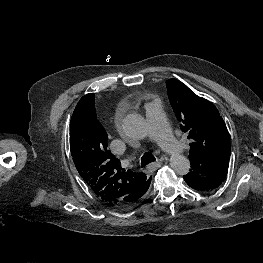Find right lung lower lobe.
<instances>
[{"instance_id":"right-lung-lower-lobe-1","label":"right lung lower lobe","mask_w":263,"mask_h":263,"mask_svg":"<svg viewBox=\"0 0 263 263\" xmlns=\"http://www.w3.org/2000/svg\"><path fill=\"white\" fill-rule=\"evenodd\" d=\"M149 185H150V183L142 190V192H141V195L143 196L145 193H146V191L148 190V188H149ZM141 196V197H142ZM140 200V199H139ZM128 208H131V207H128ZM119 209H127V208H125V207H119Z\"/></svg>"}]
</instances>
